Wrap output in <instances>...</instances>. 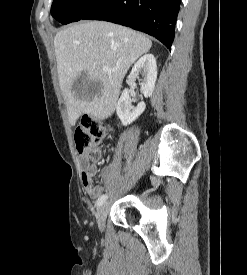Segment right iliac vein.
<instances>
[{
    "instance_id": "obj_1",
    "label": "right iliac vein",
    "mask_w": 247,
    "mask_h": 275,
    "mask_svg": "<svg viewBox=\"0 0 247 275\" xmlns=\"http://www.w3.org/2000/svg\"><path fill=\"white\" fill-rule=\"evenodd\" d=\"M107 214H108V204L104 203L98 208L97 214H96L98 227L101 231L104 229Z\"/></svg>"
}]
</instances>
